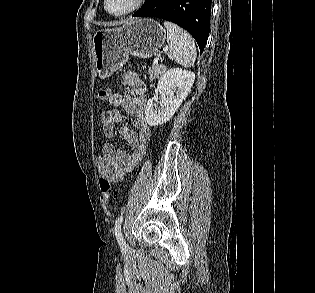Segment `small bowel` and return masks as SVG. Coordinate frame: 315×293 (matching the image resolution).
Listing matches in <instances>:
<instances>
[{"mask_svg": "<svg viewBox=\"0 0 315 293\" xmlns=\"http://www.w3.org/2000/svg\"><path fill=\"white\" fill-rule=\"evenodd\" d=\"M122 83L127 89L126 92L111 94L108 101L112 108L104 110L100 120L104 135L111 138L114 135L115 125L123 120V114L119 108L122 107L127 114L132 116L134 129L122 126L120 134L133 150L129 153L123 149H116L111 142L104 143L96 164L101 177L110 182L121 181L140 162L152 133L144 115L145 83L132 71L123 74Z\"/></svg>", "mask_w": 315, "mask_h": 293, "instance_id": "c3829d8e", "label": "small bowel"}]
</instances>
